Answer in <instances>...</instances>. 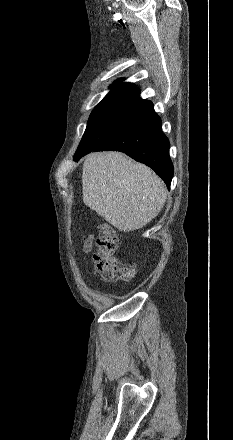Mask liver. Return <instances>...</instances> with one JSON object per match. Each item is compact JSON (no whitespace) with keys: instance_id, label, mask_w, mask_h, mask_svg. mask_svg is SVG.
<instances>
[{"instance_id":"6515ba94","label":"liver","mask_w":233,"mask_h":440,"mask_svg":"<svg viewBox=\"0 0 233 440\" xmlns=\"http://www.w3.org/2000/svg\"><path fill=\"white\" fill-rule=\"evenodd\" d=\"M82 187L84 204L124 232L148 224L166 201V187L154 171L120 152L86 156Z\"/></svg>"}]
</instances>
